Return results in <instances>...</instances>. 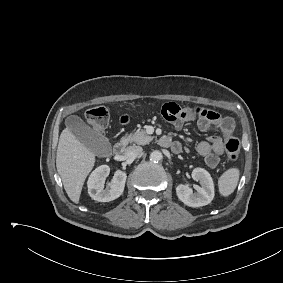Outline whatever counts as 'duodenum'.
Wrapping results in <instances>:
<instances>
[{"label": "duodenum", "mask_w": 283, "mask_h": 283, "mask_svg": "<svg viewBox=\"0 0 283 283\" xmlns=\"http://www.w3.org/2000/svg\"><path fill=\"white\" fill-rule=\"evenodd\" d=\"M160 143L162 146H165V147H171L172 146V143L170 141V139L168 137H162L160 139ZM126 146H127V143L125 140H121V141H118L114 147H113V153L116 157H120L123 155L125 149H126Z\"/></svg>", "instance_id": "duodenum-1"}]
</instances>
